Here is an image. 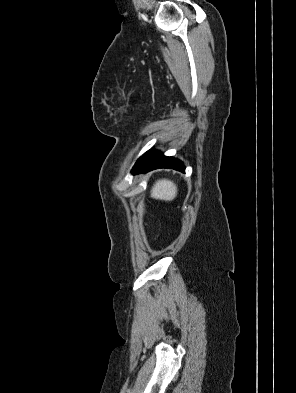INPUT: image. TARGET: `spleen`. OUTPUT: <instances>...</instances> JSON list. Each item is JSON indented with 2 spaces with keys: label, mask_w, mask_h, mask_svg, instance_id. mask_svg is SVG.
Wrapping results in <instances>:
<instances>
[{
  "label": "spleen",
  "mask_w": 296,
  "mask_h": 393,
  "mask_svg": "<svg viewBox=\"0 0 296 393\" xmlns=\"http://www.w3.org/2000/svg\"><path fill=\"white\" fill-rule=\"evenodd\" d=\"M177 195V186L167 179H160L156 181L151 190V197L154 199H161L166 201L173 200Z\"/></svg>",
  "instance_id": "obj_1"
}]
</instances>
